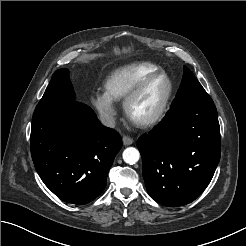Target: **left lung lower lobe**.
<instances>
[{
  "mask_svg": "<svg viewBox=\"0 0 246 246\" xmlns=\"http://www.w3.org/2000/svg\"><path fill=\"white\" fill-rule=\"evenodd\" d=\"M147 192L177 207L194 201L209 185L221 155L220 127L209 95L172 107L137 143Z\"/></svg>",
  "mask_w": 246,
  "mask_h": 246,
  "instance_id": "1",
  "label": "left lung lower lobe"
}]
</instances>
